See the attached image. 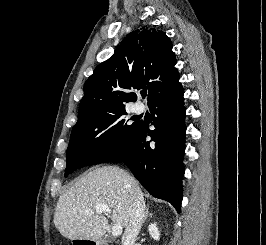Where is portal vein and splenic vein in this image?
Listing matches in <instances>:
<instances>
[{"mask_svg":"<svg viewBox=\"0 0 266 245\" xmlns=\"http://www.w3.org/2000/svg\"><path fill=\"white\" fill-rule=\"evenodd\" d=\"M95 209L96 213H105V215H110V213H112V209H110L108 205H96ZM85 213H91L90 209H86ZM122 231V225H114L112 229L113 237H118V235H121Z\"/></svg>","mask_w":266,"mask_h":245,"instance_id":"obj_1","label":"portal vein and splenic vein"}]
</instances>
